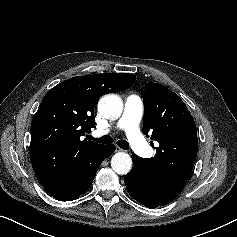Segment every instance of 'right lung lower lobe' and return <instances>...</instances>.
<instances>
[{
    "instance_id": "obj_1",
    "label": "right lung lower lobe",
    "mask_w": 237,
    "mask_h": 237,
    "mask_svg": "<svg viewBox=\"0 0 237 237\" xmlns=\"http://www.w3.org/2000/svg\"><path fill=\"white\" fill-rule=\"evenodd\" d=\"M114 145H103L98 150L84 155L75 165L68 184L45 187L46 191L60 201H71L86 193L91 186L103 160L113 154Z\"/></svg>"
}]
</instances>
